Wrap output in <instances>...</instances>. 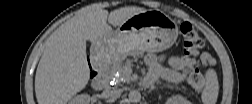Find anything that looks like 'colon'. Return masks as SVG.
<instances>
[{
  "instance_id": "colon-1",
  "label": "colon",
  "mask_w": 252,
  "mask_h": 104,
  "mask_svg": "<svg viewBox=\"0 0 252 104\" xmlns=\"http://www.w3.org/2000/svg\"><path fill=\"white\" fill-rule=\"evenodd\" d=\"M181 37L184 48L183 61L188 68V83L196 91H201L204 87L205 79L202 73L197 69L196 65L199 61L203 64H212L213 59L207 54L200 56V50L204 45V41L191 24H182ZM96 75L97 72L91 70L90 78H94Z\"/></svg>"
}]
</instances>
